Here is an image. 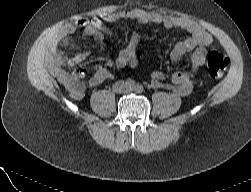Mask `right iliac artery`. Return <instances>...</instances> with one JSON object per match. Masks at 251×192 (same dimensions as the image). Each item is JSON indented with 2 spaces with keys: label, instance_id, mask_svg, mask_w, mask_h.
I'll return each mask as SVG.
<instances>
[{
  "label": "right iliac artery",
  "instance_id": "82829eb1",
  "mask_svg": "<svg viewBox=\"0 0 251 192\" xmlns=\"http://www.w3.org/2000/svg\"><path fill=\"white\" fill-rule=\"evenodd\" d=\"M126 85L128 86V87H135V81L133 80V79H127V81H126Z\"/></svg>",
  "mask_w": 251,
  "mask_h": 192
}]
</instances>
